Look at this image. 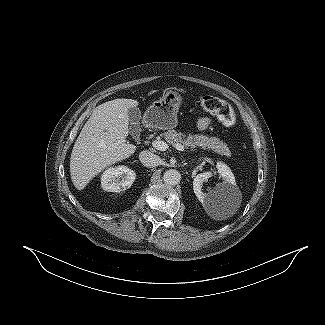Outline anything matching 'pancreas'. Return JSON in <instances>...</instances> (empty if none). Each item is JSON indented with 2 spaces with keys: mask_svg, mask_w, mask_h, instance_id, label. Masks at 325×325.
Segmentation results:
<instances>
[{
  "mask_svg": "<svg viewBox=\"0 0 325 325\" xmlns=\"http://www.w3.org/2000/svg\"><path fill=\"white\" fill-rule=\"evenodd\" d=\"M163 135L165 140L172 145L179 143L183 144V146L186 148H195L198 146L202 149L212 150L222 156H231V152L227 145L216 137H208L203 134L186 136L185 134L177 132L175 130H168Z\"/></svg>",
  "mask_w": 325,
  "mask_h": 325,
  "instance_id": "pancreas-1",
  "label": "pancreas"
}]
</instances>
